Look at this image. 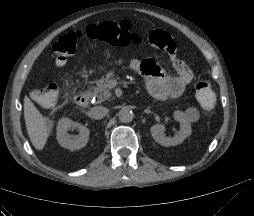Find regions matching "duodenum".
<instances>
[{
	"instance_id": "1",
	"label": "duodenum",
	"mask_w": 254,
	"mask_h": 216,
	"mask_svg": "<svg viewBox=\"0 0 254 216\" xmlns=\"http://www.w3.org/2000/svg\"><path fill=\"white\" fill-rule=\"evenodd\" d=\"M75 102L81 107H85L89 103V95L86 92H81L75 96Z\"/></svg>"
}]
</instances>
